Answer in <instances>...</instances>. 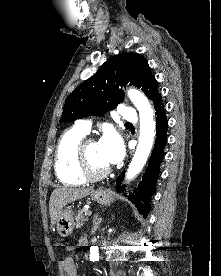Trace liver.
I'll use <instances>...</instances> for the list:
<instances>
[{"mask_svg": "<svg viewBox=\"0 0 221 276\" xmlns=\"http://www.w3.org/2000/svg\"><path fill=\"white\" fill-rule=\"evenodd\" d=\"M93 192L94 190L92 188L62 187L55 189L51 194L49 201L51 224H56L65 205L82 199Z\"/></svg>", "mask_w": 221, "mask_h": 276, "instance_id": "liver-1", "label": "liver"}]
</instances>
